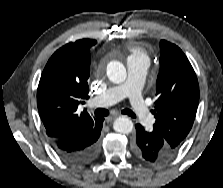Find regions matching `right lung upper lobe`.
Segmentation results:
<instances>
[{
    "label": "right lung upper lobe",
    "instance_id": "obj_1",
    "mask_svg": "<svg viewBox=\"0 0 223 188\" xmlns=\"http://www.w3.org/2000/svg\"><path fill=\"white\" fill-rule=\"evenodd\" d=\"M92 39L70 42L58 49L47 62L38 85L37 106L50 139L78 135L97 118L86 111L77 113L82 99L89 98Z\"/></svg>",
    "mask_w": 223,
    "mask_h": 188
}]
</instances>
